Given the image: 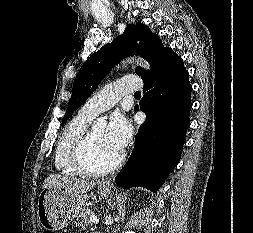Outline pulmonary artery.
I'll use <instances>...</instances> for the list:
<instances>
[{"label":"pulmonary artery","mask_w":253,"mask_h":233,"mask_svg":"<svg viewBox=\"0 0 253 233\" xmlns=\"http://www.w3.org/2000/svg\"><path fill=\"white\" fill-rule=\"evenodd\" d=\"M140 85V80L135 76L123 77L93 95L79 112L95 117L113 107L122 96L137 91Z\"/></svg>","instance_id":"e3ab8cb5"}]
</instances>
